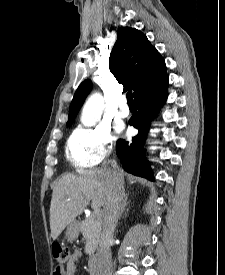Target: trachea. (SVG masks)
Returning <instances> with one entry per match:
<instances>
[{"label":"trachea","mask_w":225,"mask_h":275,"mask_svg":"<svg viewBox=\"0 0 225 275\" xmlns=\"http://www.w3.org/2000/svg\"><path fill=\"white\" fill-rule=\"evenodd\" d=\"M126 97H127L128 104L134 105L132 91H128Z\"/></svg>","instance_id":"3493384b"}]
</instances>
